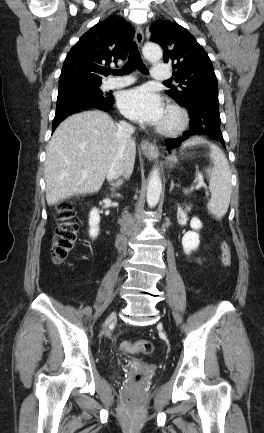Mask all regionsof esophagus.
Wrapping results in <instances>:
<instances>
[{
    "label": "esophagus",
    "instance_id": "esophagus-1",
    "mask_svg": "<svg viewBox=\"0 0 264 433\" xmlns=\"http://www.w3.org/2000/svg\"><path fill=\"white\" fill-rule=\"evenodd\" d=\"M135 41L139 47L142 46V43L144 41V34L140 26L136 28ZM140 147L144 155L150 159L156 158L159 155L158 147L154 142H151L149 140H142Z\"/></svg>",
    "mask_w": 264,
    "mask_h": 433
}]
</instances>
